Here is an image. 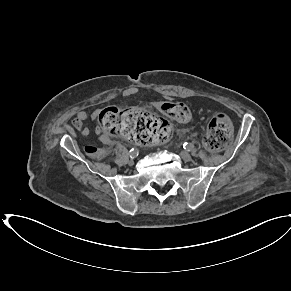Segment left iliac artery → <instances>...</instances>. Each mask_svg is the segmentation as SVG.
<instances>
[{"mask_svg":"<svg viewBox=\"0 0 291 291\" xmlns=\"http://www.w3.org/2000/svg\"><path fill=\"white\" fill-rule=\"evenodd\" d=\"M183 148L186 149V150H188V151H190L193 148V145L185 142L183 144Z\"/></svg>","mask_w":291,"mask_h":291,"instance_id":"44dca946","label":"left iliac artery"}]
</instances>
